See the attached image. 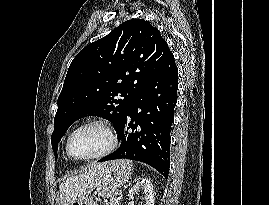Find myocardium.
<instances>
[{
	"instance_id": "obj_1",
	"label": "myocardium",
	"mask_w": 269,
	"mask_h": 205,
	"mask_svg": "<svg viewBox=\"0 0 269 205\" xmlns=\"http://www.w3.org/2000/svg\"><path fill=\"white\" fill-rule=\"evenodd\" d=\"M91 125H98L106 131L109 137V145L105 150L97 154H94L88 157H77L72 153V150H71L72 138L80 129L87 126H91ZM117 146H118V137L112 123L103 117H93L80 123L78 126H76L72 130V132L69 134L68 139H67L66 151H67L68 156L75 161H90V160L100 159L111 154L117 148Z\"/></svg>"
}]
</instances>
